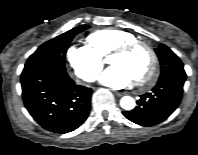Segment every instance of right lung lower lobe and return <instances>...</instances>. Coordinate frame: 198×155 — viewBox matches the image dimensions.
<instances>
[{
	"mask_svg": "<svg viewBox=\"0 0 198 155\" xmlns=\"http://www.w3.org/2000/svg\"><path fill=\"white\" fill-rule=\"evenodd\" d=\"M22 97L34 120L54 133H68L87 119L92 90L76 85L66 72L28 66L21 74Z\"/></svg>",
	"mask_w": 198,
	"mask_h": 155,
	"instance_id": "1",
	"label": "right lung lower lobe"
}]
</instances>
